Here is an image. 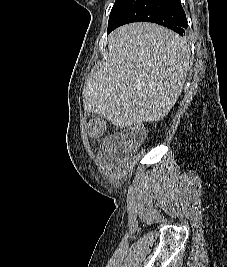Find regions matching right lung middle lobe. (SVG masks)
Returning <instances> with one entry per match:
<instances>
[{
    "label": "right lung middle lobe",
    "instance_id": "right-lung-middle-lobe-1",
    "mask_svg": "<svg viewBox=\"0 0 227 267\" xmlns=\"http://www.w3.org/2000/svg\"><path fill=\"white\" fill-rule=\"evenodd\" d=\"M127 0H116L114 3V6L111 10L110 13V17H109V23L112 22V20L114 19V17L116 16V14L118 13V11L120 10V8L123 6V4L126 2Z\"/></svg>",
    "mask_w": 227,
    "mask_h": 267
}]
</instances>
